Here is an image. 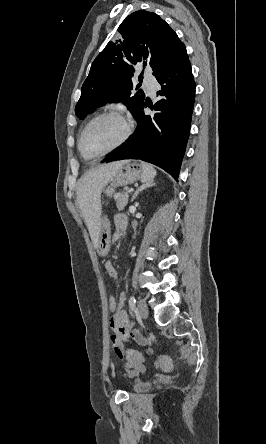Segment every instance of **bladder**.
Returning a JSON list of instances; mask_svg holds the SVG:
<instances>
[{
    "label": "bladder",
    "instance_id": "31cf9c89",
    "mask_svg": "<svg viewBox=\"0 0 266 444\" xmlns=\"http://www.w3.org/2000/svg\"><path fill=\"white\" fill-rule=\"evenodd\" d=\"M152 389L150 383H137L133 386V391L135 393H146Z\"/></svg>",
    "mask_w": 266,
    "mask_h": 444
}]
</instances>
